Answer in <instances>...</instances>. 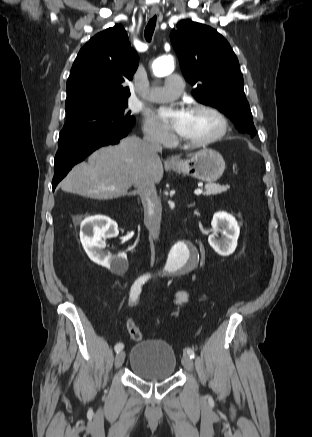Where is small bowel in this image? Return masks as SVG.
Segmentation results:
<instances>
[{"mask_svg":"<svg viewBox=\"0 0 312 437\" xmlns=\"http://www.w3.org/2000/svg\"><path fill=\"white\" fill-rule=\"evenodd\" d=\"M173 301L179 307H185L188 301V296L184 292H178L173 296Z\"/></svg>","mask_w":312,"mask_h":437,"instance_id":"small-bowel-1","label":"small bowel"}]
</instances>
